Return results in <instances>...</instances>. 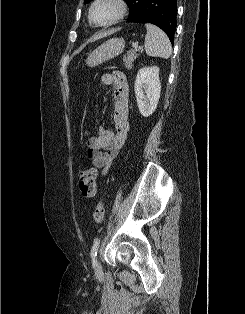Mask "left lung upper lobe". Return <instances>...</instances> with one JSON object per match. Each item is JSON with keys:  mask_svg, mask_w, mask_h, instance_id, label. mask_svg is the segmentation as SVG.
<instances>
[{"mask_svg": "<svg viewBox=\"0 0 245 314\" xmlns=\"http://www.w3.org/2000/svg\"><path fill=\"white\" fill-rule=\"evenodd\" d=\"M91 0H84V3H88ZM128 7H129V17L134 16L135 14H137L139 12V10L141 9V5L143 0H124Z\"/></svg>", "mask_w": 245, "mask_h": 314, "instance_id": "left-lung-upper-lobe-1", "label": "left lung upper lobe"}]
</instances>
